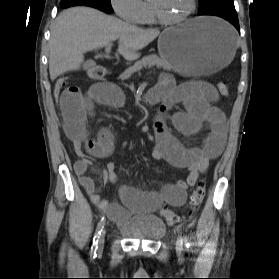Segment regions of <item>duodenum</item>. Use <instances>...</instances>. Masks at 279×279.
I'll return each instance as SVG.
<instances>
[{"instance_id": "410a0bca", "label": "duodenum", "mask_w": 279, "mask_h": 279, "mask_svg": "<svg viewBox=\"0 0 279 279\" xmlns=\"http://www.w3.org/2000/svg\"><path fill=\"white\" fill-rule=\"evenodd\" d=\"M107 75V72L103 66H96L90 70V76L93 79H101ZM154 102V99L150 98L149 96L146 98V103L151 104Z\"/></svg>"}]
</instances>
